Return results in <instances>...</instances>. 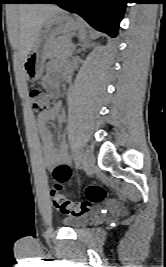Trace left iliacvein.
<instances>
[{"label":"left iliac vein","instance_id":"4c4485c4","mask_svg":"<svg viewBox=\"0 0 166 267\" xmlns=\"http://www.w3.org/2000/svg\"><path fill=\"white\" fill-rule=\"evenodd\" d=\"M83 165L85 167V170L87 173H90L93 170V167L95 165V157L91 150L86 149L83 151Z\"/></svg>","mask_w":166,"mask_h":267}]
</instances>
